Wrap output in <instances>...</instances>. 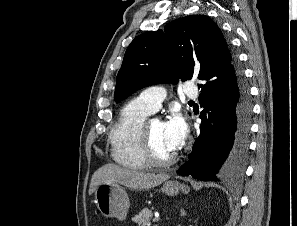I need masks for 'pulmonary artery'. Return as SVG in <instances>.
Here are the masks:
<instances>
[{
    "mask_svg": "<svg viewBox=\"0 0 297 226\" xmlns=\"http://www.w3.org/2000/svg\"><path fill=\"white\" fill-rule=\"evenodd\" d=\"M184 93L188 98L198 97V89L194 85H187L184 89ZM165 96L166 93L163 88L154 86L141 91L138 95V100L141 101L151 112H155L160 108Z\"/></svg>",
    "mask_w": 297,
    "mask_h": 226,
    "instance_id": "obj_1",
    "label": "pulmonary artery"
}]
</instances>
